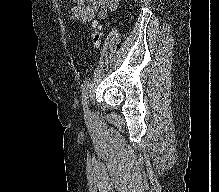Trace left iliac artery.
<instances>
[{
    "label": "left iliac artery",
    "mask_w": 219,
    "mask_h": 192,
    "mask_svg": "<svg viewBox=\"0 0 219 192\" xmlns=\"http://www.w3.org/2000/svg\"><path fill=\"white\" fill-rule=\"evenodd\" d=\"M89 87H90V82L85 81L83 87H82V104L84 107H87V99H88V93H89Z\"/></svg>",
    "instance_id": "44dca946"
}]
</instances>
